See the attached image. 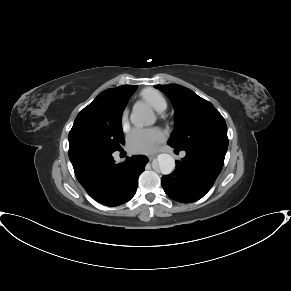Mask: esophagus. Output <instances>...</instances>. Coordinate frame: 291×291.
Returning a JSON list of instances; mask_svg holds the SVG:
<instances>
[{
	"label": "esophagus",
	"instance_id": "1",
	"mask_svg": "<svg viewBox=\"0 0 291 291\" xmlns=\"http://www.w3.org/2000/svg\"><path fill=\"white\" fill-rule=\"evenodd\" d=\"M157 154H152V155H149L148 156V159L151 161L153 160L154 158H156Z\"/></svg>",
	"mask_w": 291,
	"mask_h": 291
}]
</instances>
